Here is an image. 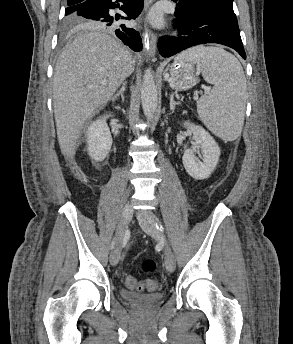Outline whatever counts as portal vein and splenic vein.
Returning <instances> with one entry per match:
<instances>
[{"label":"portal vein and splenic vein","mask_w":293,"mask_h":344,"mask_svg":"<svg viewBox=\"0 0 293 344\" xmlns=\"http://www.w3.org/2000/svg\"><path fill=\"white\" fill-rule=\"evenodd\" d=\"M204 91H205V93L207 94V93H209L210 88H209V87H205V88H204Z\"/></svg>","instance_id":"1"}]
</instances>
